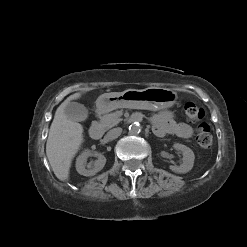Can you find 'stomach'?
Instances as JSON below:
<instances>
[{
  "label": "stomach",
  "mask_w": 247,
  "mask_h": 247,
  "mask_svg": "<svg viewBox=\"0 0 247 247\" xmlns=\"http://www.w3.org/2000/svg\"><path fill=\"white\" fill-rule=\"evenodd\" d=\"M177 99L178 95L172 89L149 87L102 94L96 100V107L101 113L117 108L161 110L172 107Z\"/></svg>",
  "instance_id": "1"
}]
</instances>
